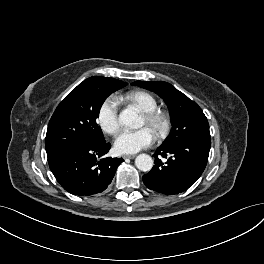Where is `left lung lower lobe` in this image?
I'll return each mask as SVG.
<instances>
[{
	"instance_id": "left-lung-lower-lobe-1",
	"label": "left lung lower lobe",
	"mask_w": 264,
	"mask_h": 264,
	"mask_svg": "<svg viewBox=\"0 0 264 264\" xmlns=\"http://www.w3.org/2000/svg\"><path fill=\"white\" fill-rule=\"evenodd\" d=\"M210 138L187 139L157 148L155 165L143 175L147 188L159 193L173 195L192 186L203 173L209 156ZM158 155L167 158L163 163Z\"/></svg>"
}]
</instances>
